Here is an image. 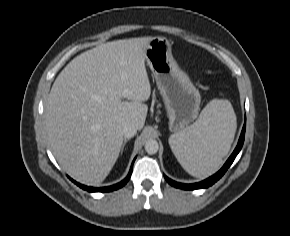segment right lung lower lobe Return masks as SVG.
<instances>
[{
	"label": "right lung lower lobe",
	"instance_id": "98d812e1",
	"mask_svg": "<svg viewBox=\"0 0 290 236\" xmlns=\"http://www.w3.org/2000/svg\"><path fill=\"white\" fill-rule=\"evenodd\" d=\"M134 162V161H133ZM132 167H133V164L131 166V169L129 171V174L128 176L122 180L121 182H119L118 184H115L113 186H108V187H103V188H93V187H88V186H84L82 184H79L78 182L72 180L76 185H78L79 187H81L82 189L84 190H87L89 192H109V191H113V190H116V189H119L121 187H123L129 180L131 174H132Z\"/></svg>",
	"mask_w": 290,
	"mask_h": 236
}]
</instances>
